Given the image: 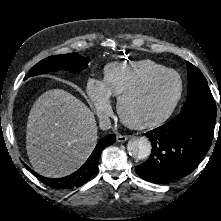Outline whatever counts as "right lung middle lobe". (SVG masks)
<instances>
[{"label":"right lung middle lobe","instance_id":"1","mask_svg":"<svg viewBox=\"0 0 221 221\" xmlns=\"http://www.w3.org/2000/svg\"><path fill=\"white\" fill-rule=\"evenodd\" d=\"M89 61L90 58L76 53L51 56L33 66L24 79L60 69L77 73L85 69Z\"/></svg>","mask_w":221,"mask_h":221}]
</instances>
